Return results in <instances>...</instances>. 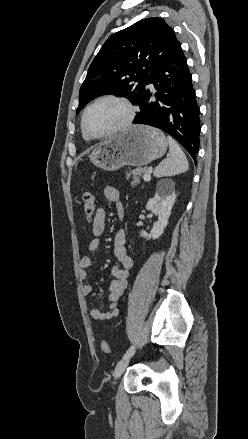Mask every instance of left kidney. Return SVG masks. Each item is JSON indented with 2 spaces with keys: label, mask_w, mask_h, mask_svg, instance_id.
Returning <instances> with one entry per match:
<instances>
[{
  "label": "left kidney",
  "mask_w": 248,
  "mask_h": 439,
  "mask_svg": "<svg viewBox=\"0 0 248 439\" xmlns=\"http://www.w3.org/2000/svg\"><path fill=\"white\" fill-rule=\"evenodd\" d=\"M175 201L176 193L173 186L164 187L163 182H159L155 196L146 204V209L158 216V221L154 224L150 234L141 231V237L147 240L158 239L164 233Z\"/></svg>",
  "instance_id": "obj_1"
}]
</instances>
